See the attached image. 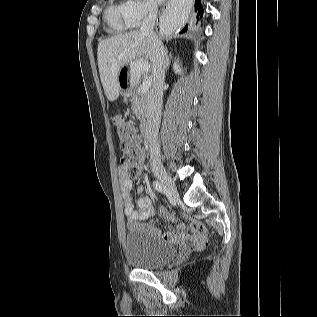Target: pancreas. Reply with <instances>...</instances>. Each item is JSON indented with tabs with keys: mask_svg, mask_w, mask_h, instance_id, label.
I'll return each instance as SVG.
<instances>
[{
	"mask_svg": "<svg viewBox=\"0 0 317 317\" xmlns=\"http://www.w3.org/2000/svg\"><path fill=\"white\" fill-rule=\"evenodd\" d=\"M141 74V73H140ZM139 77L140 75H134ZM132 103L131 109L136 115L137 119L143 120L146 113V94L140 91L138 85L132 86L129 92Z\"/></svg>",
	"mask_w": 317,
	"mask_h": 317,
	"instance_id": "cf45deb5",
	"label": "pancreas"
}]
</instances>
